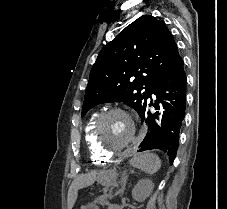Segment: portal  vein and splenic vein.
Wrapping results in <instances>:
<instances>
[{
	"instance_id": "1",
	"label": "portal vein and splenic vein",
	"mask_w": 227,
	"mask_h": 209,
	"mask_svg": "<svg viewBox=\"0 0 227 209\" xmlns=\"http://www.w3.org/2000/svg\"><path fill=\"white\" fill-rule=\"evenodd\" d=\"M98 201L100 200V201H104V200H106L107 198L106 197H104V196H98L97 198H96Z\"/></svg>"
}]
</instances>
